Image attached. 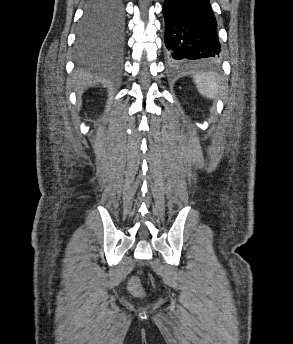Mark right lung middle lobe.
Wrapping results in <instances>:
<instances>
[{"label":"right lung middle lobe","instance_id":"dd1d6c3e","mask_svg":"<svg viewBox=\"0 0 293 344\" xmlns=\"http://www.w3.org/2000/svg\"><path fill=\"white\" fill-rule=\"evenodd\" d=\"M121 0H89L78 30V47L93 49L111 44L113 36L122 30Z\"/></svg>","mask_w":293,"mask_h":344}]
</instances>
